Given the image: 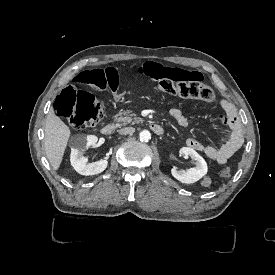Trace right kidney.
Segmentation results:
<instances>
[{
    "label": "right kidney",
    "instance_id": "1",
    "mask_svg": "<svg viewBox=\"0 0 275 275\" xmlns=\"http://www.w3.org/2000/svg\"><path fill=\"white\" fill-rule=\"evenodd\" d=\"M98 138L93 135L77 134L70 141L71 165L81 175L90 176L102 173L108 166V160L102 159L98 162L88 163V158L83 153L88 148L97 144Z\"/></svg>",
    "mask_w": 275,
    "mask_h": 275
}]
</instances>
